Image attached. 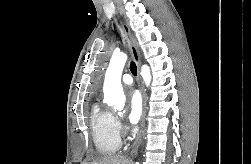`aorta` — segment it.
I'll list each match as a JSON object with an SVG mask.
<instances>
[{
	"mask_svg": "<svg viewBox=\"0 0 251 164\" xmlns=\"http://www.w3.org/2000/svg\"><path fill=\"white\" fill-rule=\"evenodd\" d=\"M126 61L127 55L124 53L114 54L112 56L109 67L106 70L103 86L105 102L118 110L122 109L125 105L121 76ZM141 76L146 86H149L151 82V73L147 65L141 67Z\"/></svg>",
	"mask_w": 251,
	"mask_h": 164,
	"instance_id": "762f6f07",
	"label": "aorta"
}]
</instances>
